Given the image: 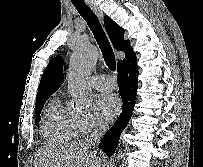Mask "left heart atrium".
Instances as JSON below:
<instances>
[{"instance_id":"39dd6f15","label":"left heart atrium","mask_w":203,"mask_h":167,"mask_svg":"<svg viewBox=\"0 0 203 167\" xmlns=\"http://www.w3.org/2000/svg\"><path fill=\"white\" fill-rule=\"evenodd\" d=\"M120 108L121 102L119 98L112 93L102 94L96 101V110L103 122L113 120L119 113Z\"/></svg>"}]
</instances>
